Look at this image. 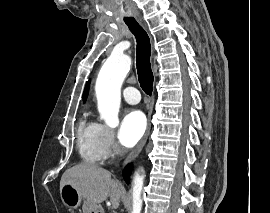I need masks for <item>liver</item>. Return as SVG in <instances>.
I'll return each mask as SVG.
<instances>
[{
    "label": "liver",
    "mask_w": 270,
    "mask_h": 213,
    "mask_svg": "<svg viewBox=\"0 0 270 213\" xmlns=\"http://www.w3.org/2000/svg\"><path fill=\"white\" fill-rule=\"evenodd\" d=\"M71 183L80 196L91 204L98 205L110 198L113 208H118L122 185L111 178V173L98 165L84 162L67 169L60 181V189Z\"/></svg>",
    "instance_id": "1"
}]
</instances>
